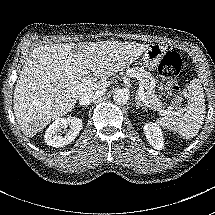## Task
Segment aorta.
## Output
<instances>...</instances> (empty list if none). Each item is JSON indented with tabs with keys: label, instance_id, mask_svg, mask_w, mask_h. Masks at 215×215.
<instances>
[{
	"label": "aorta",
	"instance_id": "1",
	"mask_svg": "<svg viewBox=\"0 0 215 215\" xmlns=\"http://www.w3.org/2000/svg\"><path fill=\"white\" fill-rule=\"evenodd\" d=\"M129 93L124 89L116 90L113 94V100L118 105H124L129 100Z\"/></svg>",
	"mask_w": 215,
	"mask_h": 215
}]
</instances>
